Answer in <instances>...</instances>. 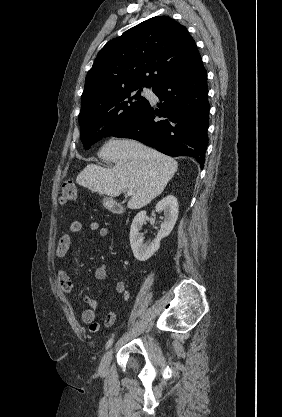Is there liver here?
I'll list each match as a JSON object with an SVG mask.
<instances>
[{
    "instance_id": "obj_1",
    "label": "liver",
    "mask_w": 282,
    "mask_h": 417,
    "mask_svg": "<svg viewBox=\"0 0 282 417\" xmlns=\"http://www.w3.org/2000/svg\"><path fill=\"white\" fill-rule=\"evenodd\" d=\"M106 160L115 162L113 168L87 164L76 176V182L93 192L119 196L122 190H133L128 209H141L163 192L174 176L177 160L137 140L123 138L108 140L100 152Z\"/></svg>"
}]
</instances>
